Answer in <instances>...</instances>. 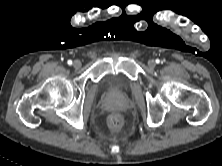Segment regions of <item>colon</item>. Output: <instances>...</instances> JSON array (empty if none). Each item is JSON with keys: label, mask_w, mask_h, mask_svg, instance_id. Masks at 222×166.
Wrapping results in <instances>:
<instances>
[{"label": "colon", "mask_w": 222, "mask_h": 166, "mask_svg": "<svg viewBox=\"0 0 222 166\" xmlns=\"http://www.w3.org/2000/svg\"><path fill=\"white\" fill-rule=\"evenodd\" d=\"M108 125L113 131H119L123 126V119L119 114H112L108 118Z\"/></svg>", "instance_id": "colon-1"}]
</instances>
